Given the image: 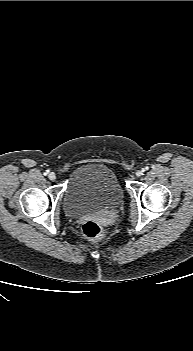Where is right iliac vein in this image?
<instances>
[{"label": "right iliac vein", "instance_id": "1", "mask_svg": "<svg viewBox=\"0 0 193 351\" xmlns=\"http://www.w3.org/2000/svg\"><path fill=\"white\" fill-rule=\"evenodd\" d=\"M48 178L52 181H54L56 179V174L54 172H50L48 175Z\"/></svg>", "mask_w": 193, "mask_h": 351}]
</instances>
